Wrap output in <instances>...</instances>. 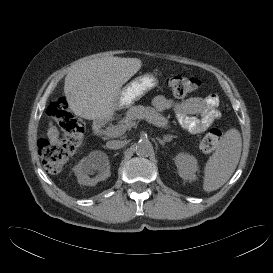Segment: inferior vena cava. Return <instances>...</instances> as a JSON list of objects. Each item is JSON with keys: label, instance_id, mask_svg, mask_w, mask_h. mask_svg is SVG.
Returning a JSON list of instances; mask_svg holds the SVG:
<instances>
[{"label": "inferior vena cava", "instance_id": "602c4592", "mask_svg": "<svg viewBox=\"0 0 273 273\" xmlns=\"http://www.w3.org/2000/svg\"><path fill=\"white\" fill-rule=\"evenodd\" d=\"M106 146L109 149H120L125 146V142L120 140H111L106 143Z\"/></svg>", "mask_w": 273, "mask_h": 273}]
</instances>
